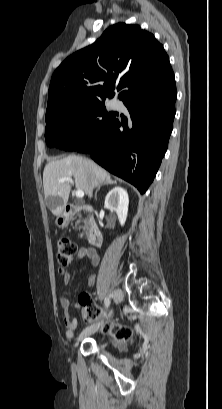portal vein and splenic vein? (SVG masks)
<instances>
[{
    "label": "portal vein and splenic vein",
    "instance_id": "1",
    "mask_svg": "<svg viewBox=\"0 0 222 409\" xmlns=\"http://www.w3.org/2000/svg\"><path fill=\"white\" fill-rule=\"evenodd\" d=\"M59 182H60V183L70 182L71 184H74V181H73L72 178H70V177L61 178V179L59 180ZM75 195H76L77 198H83V197H84V191H82V190H77V191L75 192Z\"/></svg>",
    "mask_w": 222,
    "mask_h": 409
}]
</instances>
